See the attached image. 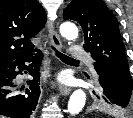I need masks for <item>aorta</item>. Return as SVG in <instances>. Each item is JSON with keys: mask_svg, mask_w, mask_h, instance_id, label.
<instances>
[{"mask_svg": "<svg viewBox=\"0 0 133 118\" xmlns=\"http://www.w3.org/2000/svg\"><path fill=\"white\" fill-rule=\"evenodd\" d=\"M60 33L61 35L68 39L74 40L78 37V28L75 24L66 22L60 26ZM86 102V94L82 89L75 90L72 95L70 96L68 102V112L71 115H76L80 113L85 106Z\"/></svg>", "mask_w": 133, "mask_h": 118, "instance_id": "762f6f07", "label": "aorta"}]
</instances>
